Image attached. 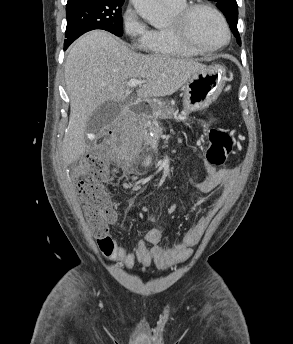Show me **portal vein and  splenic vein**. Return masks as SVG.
<instances>
[{
    "mask_svg": "<svg viewBox=\"0 0 293 344\" xmlns=\"http://www.w3.org/2000/svg\"><path fill=\"white\" fill-rule=\"evenodd\" d=\"M144 83V81L141 80H137V79H130L126 85L129 87H136L138 85H142Z\"/></svg>",
    "mask_w": 293,
    "mask_h": 344,
    "instance_id": "1",
    "label": "portal vein and splenic vein"
}]
</instances>
